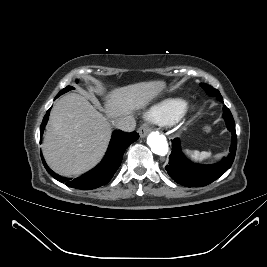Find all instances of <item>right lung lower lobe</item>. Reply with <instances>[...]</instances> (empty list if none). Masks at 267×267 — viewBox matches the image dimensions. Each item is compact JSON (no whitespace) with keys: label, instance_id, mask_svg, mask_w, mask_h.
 <instances>
[{"label":"right lung lower lobe","instance_id":"right-lung-lower-lobe-1","mask_svg":"<svg viewBox=\"0 0 267 267\" xmlns=\"http://www.w3.org/2000/svg\"><path fill=\"white\" fill-rule=\"evenodd\" d=\"M60 96L58 94L56 98ZM51 109V108H50ZM50 109L44 116L43 122L40 128V138L43 134L45 125L49 118ZM139 138V134L136 132L126 133L120 130H116L112 134V138L104 159L94 169L82 175L81 177L70 179L64 178L55 174L46 164L42 157L43 164L48 173L60 182H65L67 186L76 189H95L104 184H107L115 172L119 168L124 151L126 148Z\"/></svg>","mask_w":267,"mask_h":267}]
</instances>
